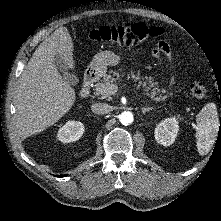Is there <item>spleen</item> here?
Returning a JSON list of instances; mask_svg holds the SVG:
<instances>
[{
    "instance_id": "spleen-1",
    "label": "spleen",
    "mask_w": 221,
    "mask_h": 221,
    "mask_svg": "<svg viewBox=\"0 0 221 221\" xmlns=\"http://www.w3.org/2000/svg\"><path fill=\"white\" fill-rule=\"evenodd\" d=\"M196 121L197 151L203 156L211 150L217 138L219 118L216 105L214 103L206 104L198 113Z\"/></svg>"
}]
</instances>
